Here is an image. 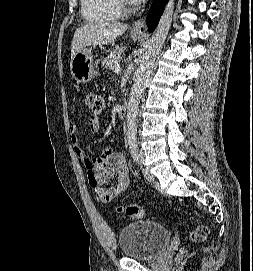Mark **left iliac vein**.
Instances as JSON below:
<instances>
[{
  "instance_id": "left-iliac-vein-1",
  "label": "left iliac vein",
  "mask_w": 253,
  "mask_h": 271,
  "mask_svg": "<svg viewBox=\"0 0 253 271\" xmlns=\"http://www.w3.org/2000/svg\"><path fill=\"white\" fill-rule=\"evenodd\" d=\"M139 158H138V165L141 169L142 175L146 180H153L154 176L153 174L149 171V169L145 166V156L142 151L138 153Z\"/></svg>"
}]
</instances>
